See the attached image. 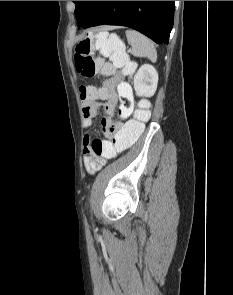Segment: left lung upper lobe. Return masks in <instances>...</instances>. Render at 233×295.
Returning <instances> with one entry per match:
<instances>
[{"mask_svg": "<svg viewBox=\"0 0 233 295\" xmlns=\"http://www.w3.org/2000/svg\"><path fill=\"white\" fill-rule=\"evenodd\" d=\"M76 5L75 15L78 25L86 24L94 11L96 10L100 1H73Z\"/></svg>", "mask_w": 233, "mask_h": 295, "instance_id": "obj_1", "label": "left lung upper lobe"}]
</instances>
